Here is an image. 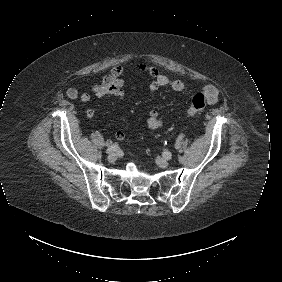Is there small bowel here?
Listing matches in <instances>:
<instances>
[{"label": "small bowel", "instance_id": "obj_1", "mask_svg": "<svg viewBox=\"0 0 282 282\" xmlns=\"http://www.w3.org/2000/svg\"><path fill=\"white\" fill-rule=\"evenodd\" d=\"M134 66L146 72L148 75L152 77V81L149 86V90L152 93L157 92L162 87H169L176 92H185L187 91V86L180 80L171 79L166 75L162 74L159 69L155 66L146 64L144 62H135ZM123 75V67L121 65H116L112 68L111 72L106 75L101 83L95 84L90 88L91 93L96 97H104L106 95L115 96L119 100H123L125 96L124 92V79ZM203 93L206 95L207 103L210 105H214L218 101L219 91L216 86L212 84H208L203 88ZM66 95L69 99L75 100L80 98L82 102H87L90 99V95L88 93L80 94L79 90L75 87H70L66 91ZM88 95L89 99L87 101L83 100V96ZM95 110L89 109L86 112V116L88 119H92L95 116ZM164 117L159 115L157 112H153L149 115L147 119V126L150 129L156 130L162 127ZM117 140H123L125 134L122 130H118L115 133Z\"/></svg>", "mask_w": 282, "mask_h": 282}]
</instances>
